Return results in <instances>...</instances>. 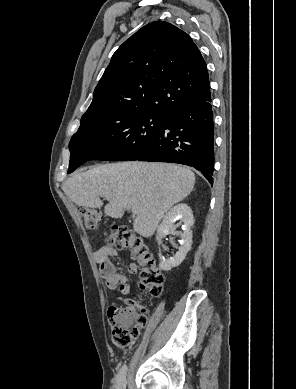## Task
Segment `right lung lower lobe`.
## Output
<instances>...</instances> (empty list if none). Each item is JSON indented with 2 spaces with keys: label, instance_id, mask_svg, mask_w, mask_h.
Instances as JSON below:
<instances>
[{
  "label": "right lung lower lobe",
  "instance_id": "right-lung-lower-lobe-1",
  "mask_svg": "<svg viewBox=\"0 0 296 389\" xmlns=\"http://www.w3.org/2000/svg\"><path fill=\"white\" fill-rule=\"evenodd\" d=\"M136 160L188 165L199 170L213 184L214 120L211 97L169 114L163 127Z\"/></svg>",
  "mask_w": 296,
  "mask_h": 389
}]
</instances>
